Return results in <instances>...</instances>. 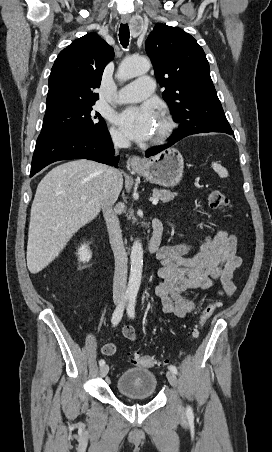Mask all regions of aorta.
Listing matches in <instances>:
<instances>
[{"label": "aorta", "instance_id": "obj_1", "mask_svg": "<svg viewBox=\"0 0 272 452\" xmlns=\"http://www.w3.org/2000/svg\"><path fill=\"white\" fill-rule=\"evenodd\" d=\"M150 67L151 64L146 58L127 57L122 61L119 67L118 76L123 80L130 79L147 73L150 70ZM130 265L127 293L135 296L140 288L143 269V248L142 243L139 240H136L133 243L130 254Z\"/></svg>", "mask_w": 272, "mask_h": 452}]
</instances>
